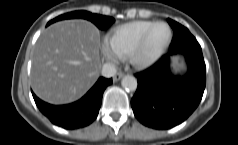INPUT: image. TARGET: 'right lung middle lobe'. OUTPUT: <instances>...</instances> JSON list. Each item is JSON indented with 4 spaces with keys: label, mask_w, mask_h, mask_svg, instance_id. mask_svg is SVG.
I'll return each instance as SVG.
<instances>
[{
    "label": "right lung middle lobe",
    "mask_w": 238,
    "mask_h": 145,
    "mask_svg": "<svg viewBox=\"0 0 238 145\" xmlns=\"http://www.w3.org/2000/svg\"><path fill=\"white\" fill-rule=\"evenodd\" d=\"M72 18H83V19L89 20L92 23H94L99 29H102V30L108 28L115 21L112 17H109V16L92 14L90 12L81 10V11H73L70 13L60 15L54 18L53 20L49 21L47 26L59 20L72 19Z\"/></svg>",
    "instance_id": "right-lung-middle-lobe-1"
}]
</instances>
